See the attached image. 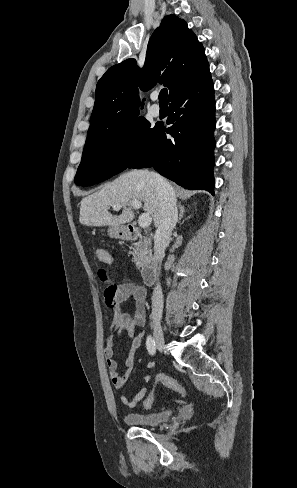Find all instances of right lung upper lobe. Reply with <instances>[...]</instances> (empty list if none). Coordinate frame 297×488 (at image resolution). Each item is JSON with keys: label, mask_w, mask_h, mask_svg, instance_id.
<instances>
[{"label": "right lung upper lobe", "mask_w": 297, "mask_h": 488, "mask_svg": "<svg viewBox=\"0 0 297 488\" xmlns=\"http://www.w3.org/2000/svg\"><path fill=\"white\" fill-rule=\"evenodd\" d=\"M208 74L209 64L196 35L184 20L165 17L149 40L142 70L135 59H127L98 81L87 138L139 118L138 86L147 91L159 81L168 87L171 101Z\"/></svg>", "instance_id": "cb5924a9"}]
</instances>
